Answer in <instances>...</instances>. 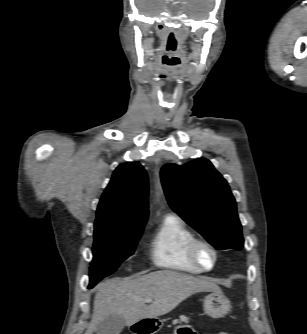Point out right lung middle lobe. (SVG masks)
Returning <instances> with one entry per match:
<instances>
[{"label": "right lung middle lobe", "instance_id": "right-lung-middle-lobe-1", "mask_svg": "<svg viewBox=\"0 0 307 334\" xmlns=\"http://www.w3.org/2000/svg\"><path fill=\"white\" fill-rule=\"evenodd\" d=\"M143 227L144 225L119 226L94 230L95 241L89 288L112 274L126 258L134 253Z\"/></svg>", "mask_w": 307, "mask_h": 334}]
</instances>
